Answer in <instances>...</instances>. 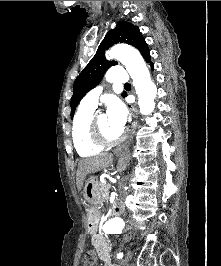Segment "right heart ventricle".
Listing matches in <instances>:
<instances>
[{
	"label": "right heart ventricle",
	"instance_id": "obj_1",
	"mask_svg": "<svg viewBox=\"0 0 221 266\" xmlns=\"http://www.w3.org/2000/svg\"><path fill=\"white\" fill-rule=\"evenodd\" d=\"M94 108L80 105L72 125V140L81 157H92L99 154L103 147L95 144L90 136V121Z\"/></svg>",
	"mask_w": 221,
	"mask_h": 266
}]
</instances>
